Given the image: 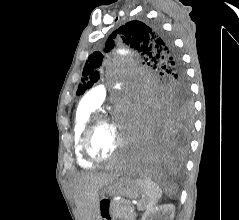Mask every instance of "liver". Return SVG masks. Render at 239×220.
I'll list each match as a JSON object with an SVG mask.
<instances>
[{"label": "liver", "instance_id": "liver-1", "mask_svg": "<svg viewBox=\"0 0 239 220\" xmlns=\"http://www.w3.org/2000/svg\"><path fill=\"white\" fill-rule=\"evenodd\" d=\"M118 170L116 168V171ZM115 177H117L115 173H87L75 179L73 185L74 199L81 220H95L97 218L99 207L98 192Z\"/></svg>", "mask_w": 239, "mask_h": 220}]
</instances>
